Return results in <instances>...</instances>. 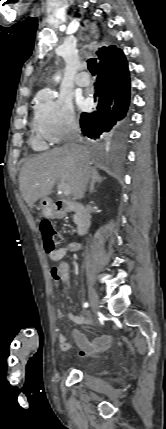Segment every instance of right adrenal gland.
Instances as JSON below:
<instances>
[{
    "label": "right adrenal gland",
    "instance_id": "1",
    "mask_svg": "<svg viewBox=\"0 0 166 429\" xmlns=\"http://www.w3.org/2000/svg\"><path fill=\"white\" fill-rule=\"evenodd\" d=\"M105 179H106L105 177H101L99 174H96V177H95L94 181L90 185V190H89L90 194L93 193L95 184L96 183H101Z\"/></svg>",
    "mask_w": 166,
    "mask_h": 429
}]
</instances>
